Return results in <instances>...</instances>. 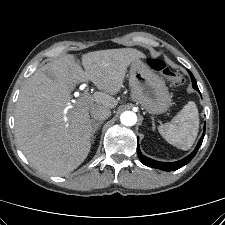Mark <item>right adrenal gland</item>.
<instances>
[{"label": "right adrenal gland", "mask_w": 225, "mask_h": 225, "mask_svg": "<svg viewBox=\"0 0 225 225\" xmlns=\"http://www.w3.org/2000/svg\"><path fill=\"white\" fill-rule=\"evenodd\" d=\"M102 123H103L102 121L93 123V127H92V130H91V138H92V141H94V138H95L94 134L99 129V127L102 125Z\"/></svg>", "instance_id": "obj_1"}]
</instances>
